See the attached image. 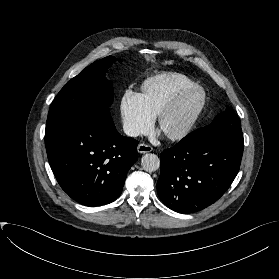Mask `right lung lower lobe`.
Segmentation results:
<instances>
[{"label": "right lung lower lobe", "instance_id": "1", "mask_svg": "<svg viewBox=\"0 0 279 279\" xmlns=\"http://www.w3.org/2000/svg\"><path fill=\"white\" fill-rule=\"evenodd\" d=\"M138 141L120 135L109 110L92 108L45 134L50 167L61 188L86 206H101L121 194L136 162Z\"/></svg>", "mask_w": 279, "mask_h": 279}]
</instances>
